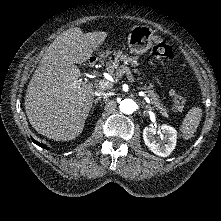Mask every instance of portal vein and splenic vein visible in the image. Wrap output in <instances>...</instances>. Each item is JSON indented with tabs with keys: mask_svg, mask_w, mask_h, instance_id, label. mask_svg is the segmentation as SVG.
I'll return each instance as SVG.
<instances>
[{
	"mask_svg": "<svg viewBox=\"0 0 221 221\" xmlns=\"http://www.w3.org/2000/svg\"><path fill=\"white\" fill-rule=\"evenodd\" d=\"M121 72L125 73V70H122ZM128 80L132 81L130 76H128ZM98 84L100 88H109L111 86V83L104 79L99 80ZM145 100L147 103H150V100L148 97H146Z\"/></svg>",
	"mask_w": 221,
	"mask_h": 221,
	"instance_id": "portal-vein-and-splenic-vein-1",
	"label": "portal vein and splenic vein"
}]
</instances>
